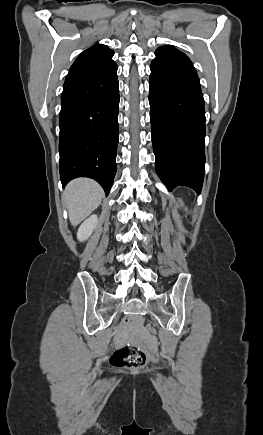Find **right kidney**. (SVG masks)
Here are the masks:
<instances>
[{
	"instance_id": "ca27d5eb",
	"label": "right kidney",
	"mask_w": 263,
	"mask_h": 435,
	"mask_svg": "<svg viewBox=\"0 0 263 435\" xmlns=\"http://www.w3.org/2000/svg\"><path fill=\"white\" fill-rule=\"evenodd\" d=\"M97 223H98L97 215H92L89 218H87L78 229L77 232L78 240L79 241L87 240L91 236Z\"/></svg>"
}]
</instances>
